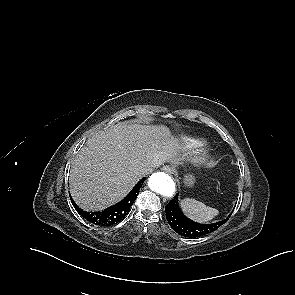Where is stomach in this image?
<instances>
[{
  "mask_svg": "<svg viewBox=\"0 0 295 295\" xmlns=\"http://www.w3.org/2000/svg\"><path fill=\"white\" fill-rule=\"evenodd\" d=\"M194 183H195V177L193 175L188 174L184 176V184L186 186L191 187L194 185Z\"/></svg>",
  "mask_w": 295,
  "mask_h": 295,
  "instance_id": "0dacf381",
  "label": "stomach"
}]
</instances>
